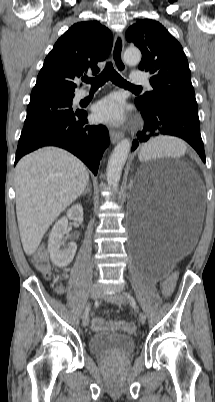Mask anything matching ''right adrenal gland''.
Returning a JSON list of instances; mask_svg holds the SVG:
<instances>
[{"mask_svg":"<svg viewBox=\"0 0 215 402\" xmlns=\"http://www.w3.org/2000/svg\"><path fill=\"white\" fill-rule=\"evenodd\" d=\"M89 194V196H91V184L90 182H88L86 189L84 190V192L81 194V196L85 195V194Z\"/></svg>","mask_w":215,"mask_h":402,"instance_id":"1","label":"right adrenal gland"}]
</instances>
